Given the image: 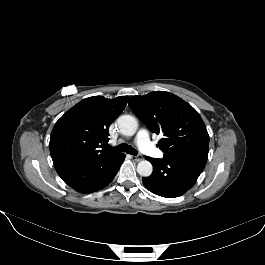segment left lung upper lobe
<instances>
[{
  "mask_svg": "<svg viewBox=\"0 0 265 265\" xmlns=\"http://www.w3.org/2000/svg\"><path fill=\"white\" fill-rule=\"evenodd\" d=\"M128 104L151 132L163 134L157 146L164 155L209 147V135L201 116L178 96L156 91L133 96Z\"/></svg>",
  "mask_w": 265,
  "mask_h": 265,
  "instance_id": "obj_1",
  "label": "left lung upper lobe"
}]
</instances>
